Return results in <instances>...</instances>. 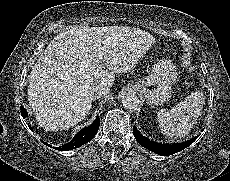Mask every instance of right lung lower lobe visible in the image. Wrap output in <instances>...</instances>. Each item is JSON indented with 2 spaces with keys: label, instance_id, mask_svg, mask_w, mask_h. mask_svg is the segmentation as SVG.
Masks as SVG:
<instances>
[{
  "label": "right lung lower lobe",
  "instance_id": "98d812e1",
  "mask_svg": "<svg viewBox=\"0 0 230 181\" xmlns=\"http://www.w3.org/2000/svg\"><path fill=\"white\" fill-rule=\"evenodd\" d=\"M21 115L24 118L27 116V112L25 108H23L22 106H21ZM99 126H100V120H99V117H97L95 121L89 127L82 129L79 133L75 135V137L70 142L60 147H54V149L60 150V151H68V150L79 148L83 144L89 142L96 135L99 129ZM29 128L32 130L31 126H29ZM43 143L51 147V145L45 142Z\"/></svg>",
  "mask_w": 230,
  "mask_h": 181
}]
</instances>
